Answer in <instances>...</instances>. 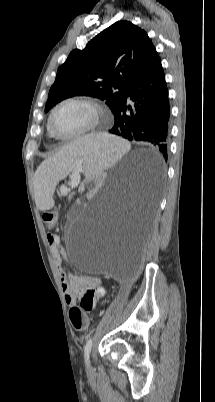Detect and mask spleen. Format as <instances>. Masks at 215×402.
<instances>
[{"label":"spleen","mask_w":215,"mask_h":402,"mask_svg":"<svg viewBox=\"0 0 215 402\" xmlns=\"http://www.w3.org/2000/svg\"><path fill=\"white\" fill-rule=\"evenodd\" d=\"M129 149L128 142L98 133H89L70 143L54 157L44 161L37 170L36 208L55 209L54 198L50 193L57 182L70 172L83 171L87 176L93 175L97 169L106 170Z\"/></svg>","instance_id":"3e777b00"}]
</instances>
